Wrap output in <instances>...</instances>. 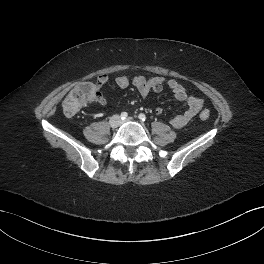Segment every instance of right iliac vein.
I'll return each instance as SVG.
<instances>
[{"label":"right iliac vein","instance_id":"right-iliac-vein-1","mask_svg":"<svg viewBox=\"0 0 264 264\" xmlns=\"http://www.w3.org/2000/svg\"><path fill=\"white\" fill-rule=\"evenodd\" d=\"M121 123L120 117L118 115H114L109 120V124L112 128H117Z\"/></svg>","mask_w":264,"mask_h":264}]
</instances>
